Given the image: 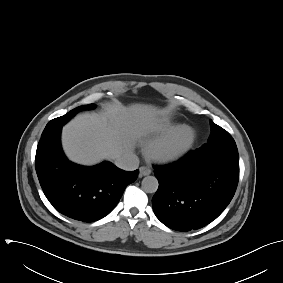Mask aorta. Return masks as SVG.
<instances>
[{"label":"aorta","instance_id":"1","mask_svg":"<svg viewBox=\"0 0 283 283\" xmlns=\"http://www.w3.org/2000/svg\"><path fill=\"white\" fill-rule=\"evenodd\" d=\"M142 189L146 193H155L158 189L159 183L156 177L146 176L142 180Z\"/></svg>","mask_w":283,"mask_h":283}]
</instances>
